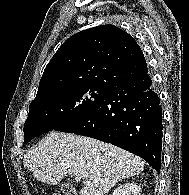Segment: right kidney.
<instances>
[{
    "label": "right kidney",
    "instance_id": "1",
    "mask_svg": "<svg viewBox=\"0 0 189 195\" xmlns=\"http://www.w3.org/2000/svg\"><path fill=\"white\" fill-rule=\"evenodd\" d=\"M112 195H141V188L134 182H128L118 186Z\"/></svg>",
    "mask_w": 189,
    "mask_h": 195
}]
</instances>
